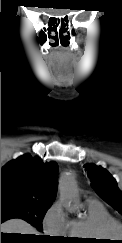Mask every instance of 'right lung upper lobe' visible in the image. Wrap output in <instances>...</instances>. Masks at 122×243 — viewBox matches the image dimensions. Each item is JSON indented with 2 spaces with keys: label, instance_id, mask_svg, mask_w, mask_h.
<instances>
[{
  "label": "right lung upper lobe",
  "instance_id": "1",
  "mask_svg": "<svg viewBox=\"0 0 122 243\" xmlns=\"http://www.w3.org/2000/svg\"><path fill=\"white\" fill-rule=\"evenodd\" d=\"M58 166L30 154L8 162L1 170V196H17L53 202L57 192Z\"/></svg>",
  "mask_w": 122,
  "mask_h": 243
}]
</instances>
